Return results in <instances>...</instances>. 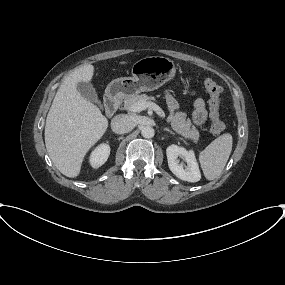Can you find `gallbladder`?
I'll list each match as a JSON object with an SVG mask.
<instances>
[{
  "instance_id": "bac80fb5",
  "label": "gallbladder",
  "mask_w": 285,
  "mask_h": 285,
  "mask_svg": "<svg viewBox=\"0 0 285 285\" xmlns=\"http://www.w3.org/2000/svg\"><path fill=\"white\" fill-rule=\"evenodd\" d=\"M77 90L83 98L101 106V101L98 99L97 93L91 83L79 82L77 84Z\"/></svg>"
}]
</instances>
